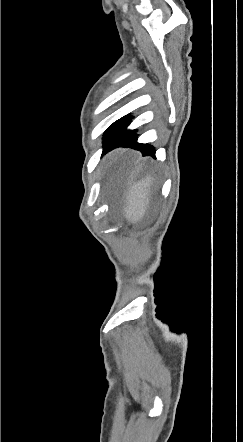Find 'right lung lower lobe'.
<instances>
[{
    "mask_svg": "<svg viewBox=\"0 0 243 442\" xmlns=\"http://www.w3.org/2000/svg\"><path fill=\"white\" fill-rule=\"evenodd\" d=\"M132 116L126 115L114 122L104 134V151H110L117 147H130L140 150L143 156H155V149L148 144L137 143L136 130H126Z\"/></svg>",
    "mask_w": 243,
    "mask_h": 442,
    "instance_id": "1",
    "label": "right lung lower lobe"
}]
</instances>
